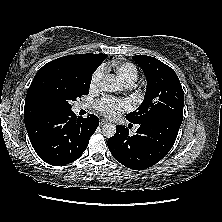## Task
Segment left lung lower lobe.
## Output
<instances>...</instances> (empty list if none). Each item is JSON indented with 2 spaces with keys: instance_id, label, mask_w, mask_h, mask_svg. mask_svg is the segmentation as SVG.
Segmentation results:
<instances>
[{
  "instance_id": "left-lung-lower-lobe-1",
  "label": "left lung lower lobe",
  "mask_w": 222,
  "mask_h": 222,
  "mask_svg": "<svg viewBox=\"0 0 222 222\" xmlns=\"http://www.w3.org/2000/svg\"><path fill=\"white\" fill-rule=\"evenodd\" d=\"M182 120L160 117L140 123L137 134L130 136L129 129L117 126L108 139L113 157L124 166L143 170L159 162L172 148Z\"/></svg>"
}]
</instances>
